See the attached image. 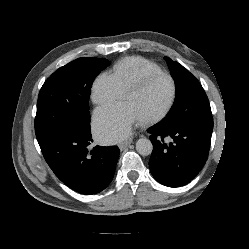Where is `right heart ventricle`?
<instances>
[{"label":"right heart ventricle","mask_w":249,"mask_h":249,"mask_svg":"<svg viewBox=\"0 0 249 249\" xmlns=\"http://www.w3.org/2000/svg\"><path fill=\"white\" fill-rule=\"evenodd\" d=\"M158 72H161V69L153 62L139 56H131L116 63L111 74L124 92L144 75Z\"/></svg>","instance_id":"1"}]
</instances>
